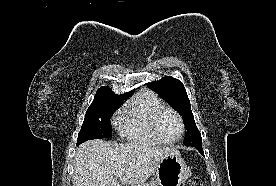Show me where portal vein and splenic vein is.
Masks as SVG:
<instances>
[{
  "mask_svg": "<svg viewBox=\"0 0 276 186\" xmlns=\"http://www.w3.org/2000/svg\"><path fill=\"white\" fill-rule=\"evenodd\" d=\"M116 178H120L122 175H123V172L122 171H119L117 173L114 174Z\"/></svg>",
  "mask_w": 276,
  "mask_h": 186,
  "instance_id": "1",
  "label": "portal vein and splenic vein"
}]
</instances>
